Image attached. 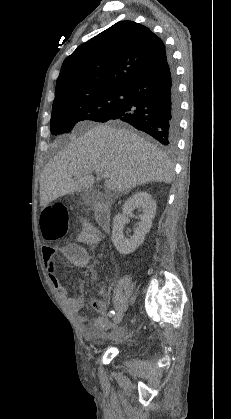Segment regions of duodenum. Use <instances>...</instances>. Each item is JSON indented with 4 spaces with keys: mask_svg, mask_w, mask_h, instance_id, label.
Instances as JSON below:
<instances>
[{
    "mask_svg": "<svg viewBox=\"0 0 231 419\" xmlns=\"http://www.w3.org/2000/svg\"><path fill=\"white\" fill-rule=\"evenodd\" d=\"M95 217L98 226L103 229L107 230L110 226V211L109 208L103 204L98 203L95 207Z\"/></svg>",
    "mask_w": 231,
    "mask_h": 419,
    "instance_id": "duodenum-1",
    "label": "duodenum"
}]
</instances>
